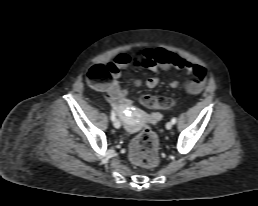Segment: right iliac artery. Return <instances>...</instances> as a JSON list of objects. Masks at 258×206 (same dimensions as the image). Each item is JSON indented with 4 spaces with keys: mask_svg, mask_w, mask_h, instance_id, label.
<instances>
[{
    "mask_svg": "<svg viewBox=\"0 0 258 206\" xmlns=\"http://www.w3.org/2000/svg\"><path fill=\"white\" fill-rule=\"evenodd\" d=\"M111 120L114 121L115 120V112L112 110L111 111Z\"/></svg>",
    "mask_w": 258,
    "mask_h": 206,
    "instance_id": "82829eb1",
    "label": "right iliac artery"
}]
</instances>
